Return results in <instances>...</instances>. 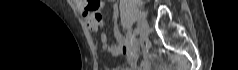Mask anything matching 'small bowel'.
Masks as SVG:
<instances>
[{
	"mask_svg": "<svg viewBox=\"0 0 238 70\" xmlns=\"http://www.w3.org/2000/svg\"><path fill=\"white\" fill-rule=\"evenodd\" d=\"M76 5L82 13L86 25L90 32L98 34L103 48L114 56L125 55L131 57L136 49V43L133 37L121 38L118 28L117 12L114 15L113 34L115 42L108 43L106 34L102 30L101 9L103 2L100 0H76ZM150 64L144 60L140 66L133 64V70H149Z\"/></svg>",
	"mask_w": 238,
	"mask_h": 70,
	"instance_id": "small-bowel-1",
	"label": "small bowel"
}]
</instances>
